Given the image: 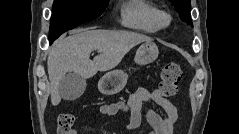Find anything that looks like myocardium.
Returning <instances> with one entry per match:
<instances>
[{
	"mask_svg": "<svg viewBox=\"0 0 239 134\" xmlns=\"http://www.w3.org/2000/svg\"><path fill=\"white\" fill-rule=\"evenodd\" d=\"M170 15L165 11H158L156 16V23L159 28H165L170 24Z\"/></svg>",
	"mask_w": 239,
	"mask_h": 134,
	"instance_id": "obj_1",
	"label": "myocardium"
}]
</instances>
